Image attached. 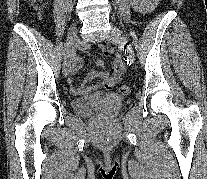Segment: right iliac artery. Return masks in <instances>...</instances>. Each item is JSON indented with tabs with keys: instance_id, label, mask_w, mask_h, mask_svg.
Listing matches in <instances>:
<instances>
[{
	"instance_id": "right-iliac-artery-1",
	"label": "right iliac artery",
	"mask_w": 207,
	"mask_h": 179,
	"mask_svg": "<svg viewBox=\"0 0 207 179\" xmlns=\"http://www.w3.org/2000/svg\"><path fill=\"white\" fill-rule=\"evenodd\" d=\"M68 46L67 42L65 43V48L63 50V59L65 60L66 59V47Z\"/></svg>"
}]
</instances>
